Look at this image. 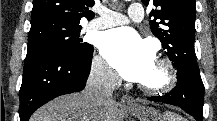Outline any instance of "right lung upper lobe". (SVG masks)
Instances as JSON below:
<instances>
[{"instance_id": "obj_1", "label": "right lung upper lobe", "mask_w": 217, "mask_h": 121, "mask_svg": "<svg viewBox=\"0 0 217 121\" xmlns=\"http://www.w3.org/2000/svg\"><path fill=\"white\" fill-rule=\"evenodd\" d=\"M93 5L94 0H33L31 23L54 19L79 24L83 16L88 20L94 17L88 10Z\"/></svg>"}]
</instances>
